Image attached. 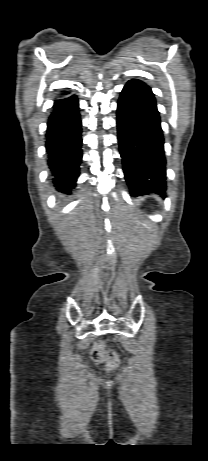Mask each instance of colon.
<instances>
[{"mask_svg":"<svg viewBox=\"0 0 208 461\" xmlns=\"http://www.w3.org/2000/svg\"><path fill=\"white\" fill-rule=\"evenodd\" d=\"M91 356L94 361L104 363L108 370H114L119 364L118 354L111 349H107L103 341L95 342Z\"/></svg>","mask_w":208,"mask_h":461,"instance_id":"obj_1","label":"colon"}]
</instances>
